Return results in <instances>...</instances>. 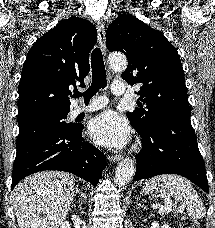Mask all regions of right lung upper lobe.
<instances>
[{
    "mask_svg": "<svg viewBox=\"0 0 215 228\" xmlns=\"http://www.w3.org/2000/svg\"><path fill=\"white\" fill-rule=\"evenodd\" d=\"M97 29L71 17L39 38L28 52L19 82L18 123L70 111V85L89 73Z\"/></svg>",
    "mask_w": 215,
    "mask_h": 228,
    "instance_id": "obj_1",
    "label": "right lung upper lobe"
}]
</instances>
